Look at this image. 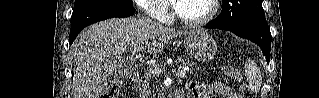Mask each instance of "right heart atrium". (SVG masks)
<instances>
[{"instance_id":"obj_1","label":"right heart atrium","mask_w":319,"mask_h":98,"mask_svg":"<svg viewBox=\"0 0 319 98\" xmlns=\"http://www.w3.org/2000/svg\"><path fill=\"white\" fill-rule=\"evenodd\" d=\"M136 4L153 19H160L168 14V5L164 0H139Z\"/></svg>"}]
</instances>
